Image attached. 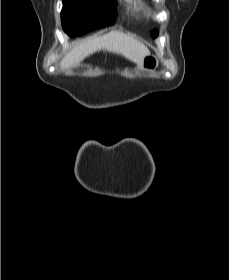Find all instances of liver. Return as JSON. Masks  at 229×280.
Wrapping results in <instances>:
<instances>
[{
	"label": "liver",
	"mask_w": 229,
	"mask_h": 280,
	"mask_svg": "<svg viewBox=\"0 0 229 280\" xmlns=\"http://www.w3.org/2000/svg\"><path fill=\"white\" fill-rule=\"evenodd\" d=\"M120 54L142 67L143 59L150 55L149 49L130 33L112 30L101 36L91 37L75 46L60 63L61 69L77 66L83 59L97 51Z\"/></svg>",
	"instance_id": "1"
}]
</instances>
